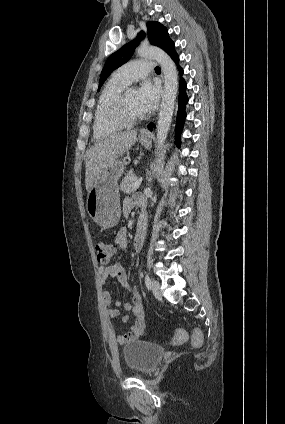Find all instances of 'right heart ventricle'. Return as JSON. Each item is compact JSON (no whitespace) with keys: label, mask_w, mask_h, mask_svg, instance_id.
<instances>
[{"label":"right heart ventricle","mask_w":285,"mask_h":424,"mask_svg":"<svg viewBox=\"0 0 285 424\" xmlns=\"http://www.w3.org/2000/svg\"><path fill=\"white\" fill-rule=\"evenodd\" d=\"M125 87L126 84L118 81L114 76L105 84L98 98L94 113L93 134L95 139L99 140L109 137L123 129V126L109 119L108 113L113 101Z\"/></svg>","instance_id":"obj_1"}]
</instances>
